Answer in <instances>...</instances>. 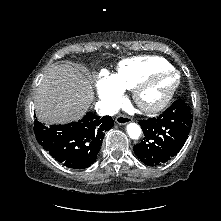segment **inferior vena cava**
<instances>
[{"instance_id":"obj_1","label":"inferior vena cava","mask_w":221,"mask_h":221,"mask_svg":"<svg viewBox=\"0 0 221 221\" xmlns=\"http://www.w3.org/2000/svg\"><path fill=\"white\" fill-rule=\"evenodd\" d=\"M96 112L101 115H110L113 116L118 113V108L105 102V101H98L95 105Z\"/></svg>"}]
</instances>
